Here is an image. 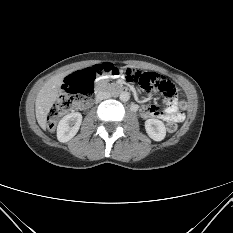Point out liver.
<instances>
[{"label": "liver", "instance_id": "obj_1", "mask_svg": "<svg viewBox=\"0 0 233 233\" xmlns=\"http://www.w3.org/2000/svg\"><path fill=\"white\" fill-rule=\"evenodd\" d=\"M70 72L61 73L49 79L39 90L35 101V113L38 124L46 128V118L57 99L60 86Z\"/></svg>", "mask_w": 233, "mask_h": 233}]
</instances>
